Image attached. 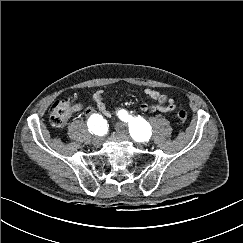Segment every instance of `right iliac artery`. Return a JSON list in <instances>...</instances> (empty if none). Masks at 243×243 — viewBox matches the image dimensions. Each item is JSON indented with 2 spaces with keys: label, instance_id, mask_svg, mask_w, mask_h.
<instances>
[{
  "label": "right iliac artery",
  "instance_id": "right-iliac-artery-1",
  "mask_svg": "<svg viewBox=\"0 0 243 243\" xmlns=\"http://www.w3.org/2000/svg\"><path fill=\"white\" fill-rule=\"evenodd\" d=\"M105 120L98 114H93L88 119L87 125L92 134L100 135L105 126Z\"/></svg>",
  "mask_w": 243,
  "mask_h": 243
}]
</instances>
